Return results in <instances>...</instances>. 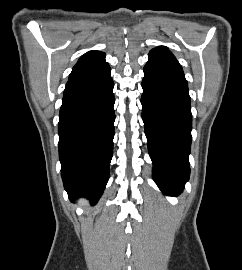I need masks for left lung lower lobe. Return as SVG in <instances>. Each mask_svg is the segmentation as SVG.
<instances>
[{
    "label": "left lung lower lobe",
    "mask_w": 242,
    "mask_h": 270,
    "mask_svg": "<svg viewBox=\"0 0 242 270\" xmlns=\"http://www.w3.org/2000/svg\"><path fill=\"white\" fill-rule=\"evenodd\" d=\"M142 81V119L153 178L160 190L177 196L189 179L192 115L188 85L174 58L149 57Z\"/></svg>",
    "instance_id": "obj_1"
}]
</instances>
